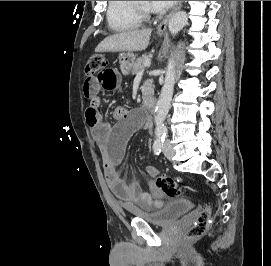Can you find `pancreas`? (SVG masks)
Masks as SVG:
<instances>
[{"label": "pancreas", "instance_id": "1", "mask_svg": "<svg viewBox=\"0 0 271 266\" xmlns=\"http://www.w3.org/2000/svg\"><path fill=\"white\" fill-rule=\"evenodd\" d=\"M147 55H142L141 57L137 58L135 63L132 66V74H137L144 70L145 66L144 63L148 61ZM152 80H146L143 85L141 86L142 93H149L152 91Z\"/></svg>", "mask_w": 271, "mask_h": 266}]
</instances>
